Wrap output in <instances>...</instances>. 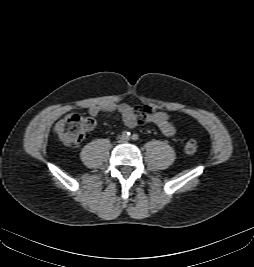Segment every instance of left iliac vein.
Returning <instances> with one entry per match:
<instances>
[{
  "label": "left iliac vein",
  "mask_w": 254,
  "mask_h": 267,
  "mask_svg": "<svg viewBox=\"0 0 254 267\" xmlns=\"http://www.w3.org/2000/svg\"><path fill=\"white\" fill-rule=\"evenodd\" d=\"M123 141H128V139H124Z\"/></svg>",
  "instance_id": "1"
}]
</instances>
